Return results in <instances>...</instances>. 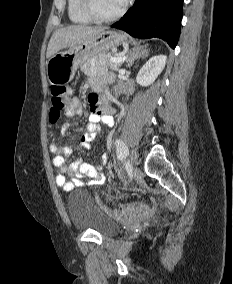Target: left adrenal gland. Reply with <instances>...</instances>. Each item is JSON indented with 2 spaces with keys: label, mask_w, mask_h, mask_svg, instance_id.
Segmentation results:
<instances>
[{
  "label": "left adrenal gland",
  "mask_w": 233,
  "mask_h": 284,
  "mask_svg": "<svg viewBox=\"0 0 233 284\" xmlns=\"http://www.w3.org/2000/svg\"><path fill=\"white\" fill-rule=\"evenodd\" d=\"M148 54V50L145 49L143 51H133L129 54V57L127 58L126 60V63H127V67H131L134 63V61L140 57H144Z\"/></svg>",
  "instance_id": "obj_1"
}]
</instances>
